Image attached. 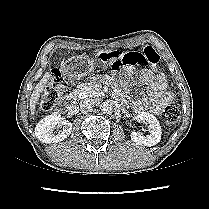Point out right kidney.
Returning <instances> with one entry per match:
<instances>
[{
	"label": "right kidney",
	"instance_id": "ca27d5eb",
	"mask_svg": "<svg viewBox=\"0 0 209 209\" xmlns=\"http://www.w3.org/2000/svg\"><path fill=\"white\" fill-rule=\"evenodd\" d=\"M64 125L58 134H53L55 127ZM73 124L67 120L62 121L59 113H53L42 119L35 127V136L43 143H57L66 139L72 132Z\"/></svg>",
	"mask_w": 209,
	"mask_h": 209
}]
</instances>
